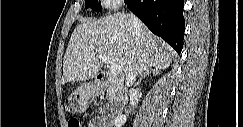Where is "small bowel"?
<instances>
[{"label":"small bowel","mask_w":243,"mask_h":127,"mask_svg":"<svg viewBox=\"0 0 243 127\" xmlns=\"http://www.w3.org/2000/svg\"><path fill=\"white\" fill-rule=\"evenodd\" d=\"M90 127H104L100 125V119L94 118L90 121Z\"/></svg>","instance_id":"c3829d8e"}]
</instances>
